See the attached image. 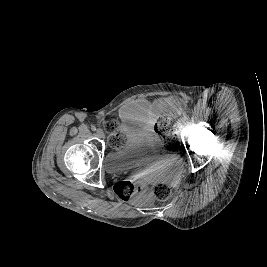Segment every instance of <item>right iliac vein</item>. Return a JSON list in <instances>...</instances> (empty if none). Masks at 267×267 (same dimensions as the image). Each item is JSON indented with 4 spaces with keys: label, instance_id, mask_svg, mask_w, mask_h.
<instances>
[{
    "label": "right iliac vein",
    "instance_id": "right-iliac-vein-1",
    "mask_svg": "<svg viewBox=\"0 0 267 267\" xmlns=\"http://www.w3.org/2000/svg\"><path fill=\"white\" fill-rule=\"evenodd\" d=\"M96 135H97L99 138H103V137H104V133H103V131H101V130H97Z\"/></svg>",
    "mask_w": 267,
    "mask_h": 267
}]
</instances>
